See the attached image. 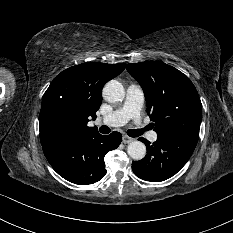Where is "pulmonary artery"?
Wrapping results in <instances>:
<instances>
[{"mask_svg": "<svg viewBox=\"0 0 233 233\" xmlns=\"http://www.w3.org/2000/svg\"><path fill=\"white\" fill-rule=\"evenodd\" d=\"M144 104V92L139 85L131 84L126 89L124 103L108 115L102 117L98 122L108 126H120L130 119L138 120ZM147 138L154 142L157 140V133L149 131Z\"/></svg>", "mask_w": 233, "mask_h": 233, "instance_id": "pulmonary-artery-1", "label": "pulmonary artery"}]
</instances>
